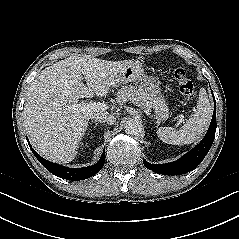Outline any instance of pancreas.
I'll use <instances>...</instances> for the list:
<instances>
[{"mask_svg":"<svg viewBox=\"0 0 239 239\" xmlns=\"http://www.w3.org/2000/svg\"><path fill=\"white\" fill-rule=\"evenodd\" d=\"M116 102L122 104L127 100L143 109L150 108V101L148 95L142 90L137 89L135 86H124L116 94Z\"/></svg>","mask_w":239,"mask_h":239,"instance_id":"1","label":"pancreas"}]
</instances>
